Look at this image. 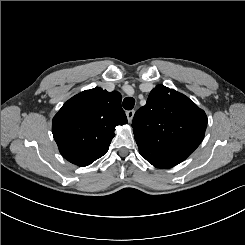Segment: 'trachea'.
<instances>
[{
  "label": "trachea",
  "instance_id": "3493384b",
  "mask_svg": "<svg viewBox=\"0 0 245 245\" xmlns=\"http://www.w3.org/2000/svg\"><path fill=\"white\" fill-rule=\"evenodd\" d=\"M134 103H135L134 98L126 97L123 100V108L126 109V110H132V108L134 107Z\"/></svg>",
  "mask_w": 245,
  "mask_h": 245
}]
</instances>
